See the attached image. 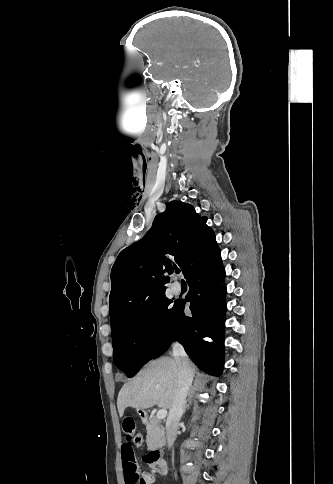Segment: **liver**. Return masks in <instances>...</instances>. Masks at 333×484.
<instances>
[{
	"label": "liver",
	"mask_w": 333,
	"mask_h": 484,
	"mask_svg": "<svg viewBox=\"0 0 333 484\" xmlns=\"http://www.w3.org/2000/svg\"><path fill=\"white\" fill-rule=\"evenodd\" d=\"M192 372L194 367L191 364ZM179 368L176 360L162 357L149 362L121 388L117 398L120 417L127 407L145 410L155 405L170 409L178 388Z\"/></svg>",
	"instance_id": "liver-1"
}]
</instances>
